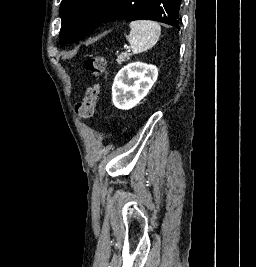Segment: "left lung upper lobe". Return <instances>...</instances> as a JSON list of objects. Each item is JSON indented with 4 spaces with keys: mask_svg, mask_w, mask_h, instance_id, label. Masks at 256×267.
<instances>
[{
    "mask_svg": "<svg viewBox=\"0 0 256 267\" xmlns=\"http://www.w3.org/2000/svg\"><path fill=\"white\" fill-rule=\"evenodd\" d=\"M62 26L59 34L62 46L84 38L102 22L125 18L160 21L176 26L175 0H62Z\"/></svg>",
    "mask_w": 256,
    "mask_h": 267,
    "instance_id": "obj_1",
    "label": "left lung upper lobe"
}]
</instances>
